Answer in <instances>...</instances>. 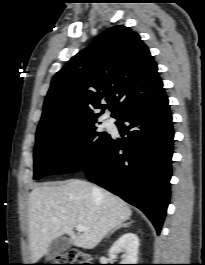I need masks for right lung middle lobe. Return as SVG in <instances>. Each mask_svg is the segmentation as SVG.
<instances>
[{
  "label": "right lung middle lobe",
  "mask_w": 205,
  "mask_h": 265,
  "mask_svg": "<svg viewBox=\"0 0 205 265\" xmlns=\"http://www.w3.org/2000/svg\"><path fill=\"white\" fill-rule=\"evenodd\" d=\"M95 123L91 120L38 130L33 179L83 170L111 138Z\"/></svg>",
  "instance_id": "dd1d6c3e"
}]
</instances>
